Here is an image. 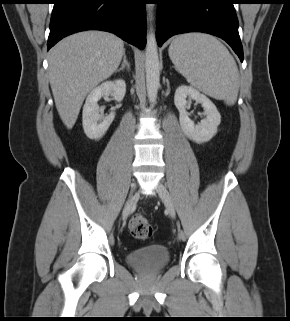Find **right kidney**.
<instances>
[{"label": "right kidney", "instance_id": "right-kidney-1", "mask_svg": "<svg viewBox=\"0 0 290 321\" xmlns=\"http://www.w3.org/2000/svg\"><path fill=\"white\" fill-rule=\"evenodd\" d=\"M125 93L126 83L123 79L105 81L89 93L82 113L83 129L88 138L98 140L103 137L115 118V112L106 117L99 114L97 102L101 97L112 95L117 102H121Z\"/></svg>", "mask_w": 290, "mask_h": 321}]
</instances>
